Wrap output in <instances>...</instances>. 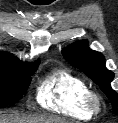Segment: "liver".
<instances>
[{"label":"liver","mask_w":118,"mask_h":123,"mask_svg":"<svg viewBox=\"0 0 118 123\" xmlns=\"http://www.w3.org/2000/svg\"><path fill=\"white\" fill-rule=\"evenodd\" d=\"M0 123H69V121L47 114L22 116L17 113L1 114Z\"/></svg>","instance_id":"6515ba94"}]
</instances>
